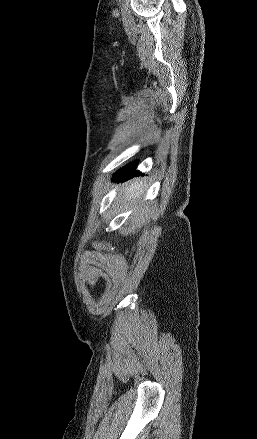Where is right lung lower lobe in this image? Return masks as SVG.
Masks as SVG:
<instances>
[{
	"label": "right lung lower lobe",
	"instance_id": "1",
	"mask_svg": "<svg viewBox=\"0 0 257 439\" xmlns=\"http://www.w3.org/2000/svg\"><path fill=\"white\" fill-rule=\"evenodd\" d=\"M136 165H137V161H134V162L126 165L125 167L121 168L120 170H118L114 174L112 180L119 182V181L129 179L134 175L140 174L139 171L135 170Z\"/></svg>",
	"mask_w": 257,
	"mask_h": 439
}]
</instances>
